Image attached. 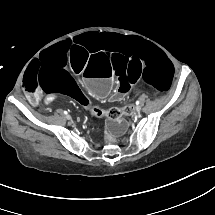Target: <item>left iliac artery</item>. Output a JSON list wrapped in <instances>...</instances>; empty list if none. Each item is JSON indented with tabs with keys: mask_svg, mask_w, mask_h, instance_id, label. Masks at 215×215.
<instances>
[{
	"mask_svg": "<svg viewBox=\"0 0 215 215\" xmlns=\"http://www.w3.org/2000/svg\"><path fill=\"white\" fill-rule=\"evenodd\" d=\"M136 105H137V107H139V105H140V101L139 100L136 101Z\"/></svg>",
	"mask_w": 215,
	"mask_h": 215,
	"instance_id": "left-iliac-artery-1",
	"label": "left iliac artery"
}]
</instances>
